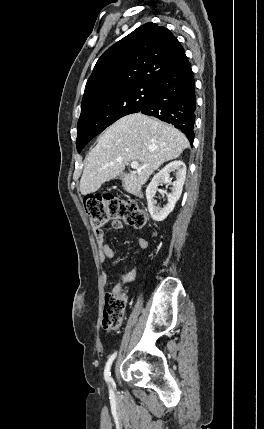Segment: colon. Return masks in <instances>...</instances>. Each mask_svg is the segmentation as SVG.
I'll return each mask as SVG.
<instances>
[{
    "label": "colon",
    "mask_w": 264,
    "mask_h": 429,
    "mask_svg": "<svg viewBox=\"0 0 264 429\" xmlns=\"http://www.w3.org/2000/svg\"><path fill=\"white\" fill-rule=\"evenodd\" d=\"M85 211L95 232L111 219H119L134 228H142L146 223L145 212L131 200L113 195H88L84 199ZM125 292H108L105 294L102 317L103 328L107 331L118 330L124 320L126 310Z\"/></svg>",
    "instance_id": "5ec220e1"
}]
</instances>
